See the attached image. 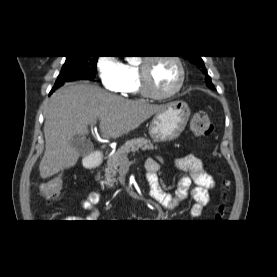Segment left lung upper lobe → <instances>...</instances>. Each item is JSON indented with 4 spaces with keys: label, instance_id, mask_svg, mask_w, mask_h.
Here are the masks:
<instances>
[{
    "label": "left lung upper lobe",
    "instance_id": "obj_1",
    "mask_svg": "<svg viewBox=\"0 0 277 277\" xmlns=\"http://www.w3.org/2000/svg\"><path fill=\"white\" fill-rule=\"evenodd\" d=\"M184 57H185L186 59H188L191 63L196 64V65H198L199 67H201L203 72H207V70H206V68H205V66H204V62H203L201 56H190V57L184 56ZM206 83H207V85H209V86H211V87L213 86V84L211 83V79H210L209 76L206 77Z\"/></svg>",
    "mask_w": 277,
    "mask_h": 277
}]
</instances>
